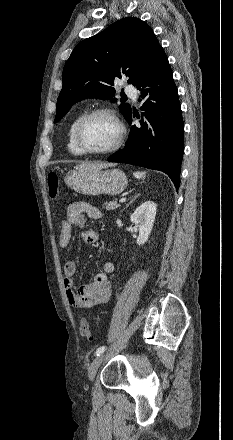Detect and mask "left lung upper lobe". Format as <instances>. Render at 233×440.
I'll return each mask as SVG.
<instances>
[{
	"instance_id": "left-lung-upper-lobe-1",
	"label": "left lung upper lobe",
	"mask_w": 233,
	"mask_h": 440,
	"mask_svg": "<svg viewBox=\"0 0 233 440\" xmlns=\"http://www.w3.org/2000/svg\"><path fill=\"white\" fill-rule=\"evenodd\" d=\"M162 51L152 29L144 21L131 17L81 41L63 69V87L57 100L54 123L80 100L100 98L116 102L113 98L115 90L111 87L114 80L126 76L128 83L136 86L146 77ZM119 108L127 118L130 105L122 103Z\"/></svg>"
}]
</instances>
